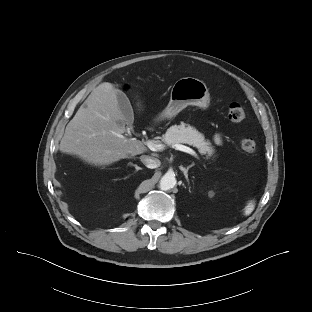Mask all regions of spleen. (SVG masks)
I'll use <instances>...</instances> for the list:
<instances>
[{
  "label": "spleen",
  "instance_id": "spleen-1",
  "mask_svg": "<svg viewBox=\"0 0 312 312\" xmlns=\"http://www.w3.org/2000/svg\"><path fill=\"white\" fill-rule=\"evenodd\" d=\"M252 205H249L247 208H246V211H245V213L246 214H249L250 213V211L252 210Z\"/></svg>",
  "mask_w": 312,
  "mask_h": 312
}]
</instances>
